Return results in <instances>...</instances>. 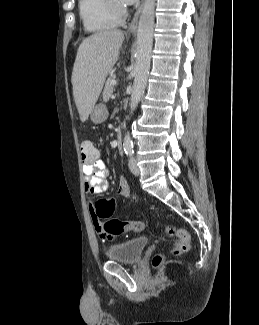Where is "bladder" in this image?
<instances>
[{"label":"bladder","instance_id":"31cf9c89","mask_svg":"<svg viewBox=\"0 0 259 325\" xmlns=\"http://www.w3.org/2000/svg\"><path fill=\"white\" fill-rule=\"evenodd\" d=\"M149 244L146 237H138L124 243L109 246L105 255L109 260L121 263H137Z\"/></svg>","mask_w":259,"mask_h":325}]
</instances>
